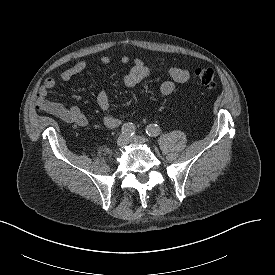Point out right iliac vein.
Here are the masks:
<instances>
[{
    "label": "right iliac vein",
    "mask_w": 275,
    "mask_h": 275,
    "mask_svg": "<svg viewBox=\"0 0 275 275\" xmlns=\"http://www.w3.org/2000/svg\"><path fill=\"white\" fill-rule=\"evenodd\" d=\"M130 138L126 134H121L117 139V145L122 147L129 143Z\"/></svg>",
    "instance_id": "63e3f726"
}]
</instances>
